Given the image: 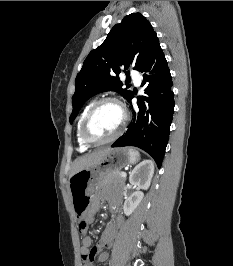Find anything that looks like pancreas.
<instances>
[{"mask_svg": "<svg viewBox=\"0 0 233 266\" xmlns=\"http://www.w3.org/2000/svg\"><path fill=\"white\" fill-rule=\"evenodd\" d=\"M125 178L121 177V172L120 171H113V172H107L105 173L101 180H100V185H118V186H123L125 183Z\"/></svg>", "mask_w": 233, "mask_h": 266, "instance_id": "cf45deb5", "label": "pancreas"}]
</instances>
